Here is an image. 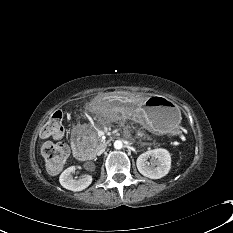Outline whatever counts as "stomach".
<instances>
[{
	"instance_id": "stomach-1",
	"label": "stomach",
	"mask_w": 233,
	"mask_h": 233,
	"mask_svg": "<svg viewBox=\"0 0 233 233\" xmlns=\"http://www.w3.org/2000/svg\"><path fill=\"white\" fill-rule=\"evenodd\" d=\"M118 112L121 116H131L135 121L157 134H174L181 121L179 107L166 97L155 95L145 99L143 96H106L93 104L94 111Z\"/></svg>"
}]
</instances>
